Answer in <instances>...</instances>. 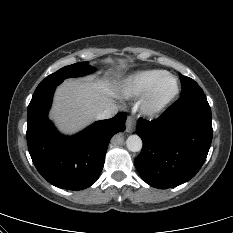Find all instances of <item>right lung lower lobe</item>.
<instances>
[{"mask_svg":"<svg viewBox=\"0 0 233 233\" xmlns=\"http://www.w3.org/2000/svg\"><path fill=\"white\" fill-rule=\"evenodd\" d=\"M55 88L33 95L27 113V143L38 172L52 185L82 190L97 181L113 135L125 130V112L95 122L75 136L64 137L48 119Z\"/></svg>","mask_w":233,"mask_h":233,"instance_id":"obj_1","label":"right lung lower lobe"}]
</instances>
